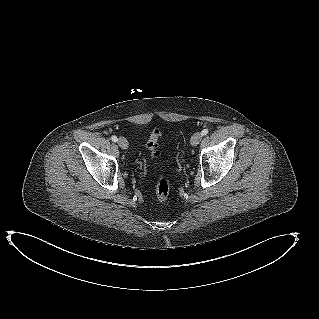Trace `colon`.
<instances>
[{
    "mask_svg": "<svg viewBox=\"0 0 319 319\" xmlns=\"http://www.w3.org/2000/svg\"><path fill=\"white\" fill-rule=\"evenodd\" d=\"M161 136V131L157 128L153 129L150 133L149 139L146 143L147 149L151 153L153 159H158L161 157V151L159 150V138ZM170 193V180L165 174H160L157 178L155 185L156 197L164 201L168 198Z\"/></svg>",
    "mask_w": 319,
    "mask_h": 319,
    "instance_id": "5ec220e1",
    "label": "colon"
}]
</instances>
